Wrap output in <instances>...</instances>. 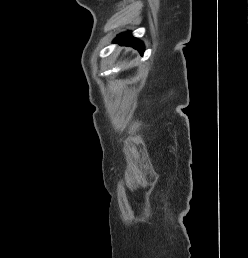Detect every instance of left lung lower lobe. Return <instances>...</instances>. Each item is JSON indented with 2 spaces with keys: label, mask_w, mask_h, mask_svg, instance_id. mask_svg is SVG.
I'll return each instance as SVG.
<instances>
[{
  "label": "left lung lower lobe",
  "mask_w": 248,
  "mask_h": 258,
  "mask_svg": "<svg viewBox=\"0 0 248 258\" xmlns=\"http://www.w3.org/2000/svg\"><path fill=\"white\" fill-rule=\"evenodd\" d=\"M115 42L120 43L121 45L131 46L137 49L141 54L144 51V45L141 41H139L136 38H133L130 34V32L119 34Z\"/></svg>",
  "instance_id": "0a47b994"
}]
</instances>
